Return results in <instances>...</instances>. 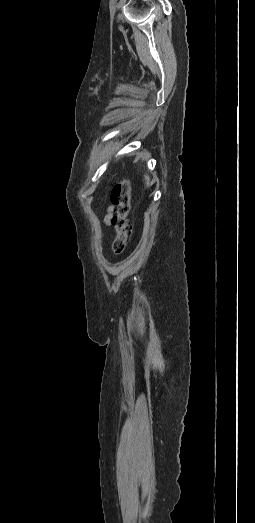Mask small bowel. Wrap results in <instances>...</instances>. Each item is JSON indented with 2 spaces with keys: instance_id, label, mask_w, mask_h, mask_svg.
Listing matches in <instances>:
<instances>
[{
  "instance_id": "c3829d8e",
  "label": "small bowel",
  "mask_w": 255,
  "mask_h": 523,
  "mask_svg": "<svg viewBox=\"0 0 255 523\" xmlns=\"http://www.w3.org/2000/svg\"><path fill=\"white\" fill-rule=\"evenodd\" d=\"M112 215H113V207H109L108 214L105 217V223L107 225H110Z\"/></svg>"
}]
</instances>
